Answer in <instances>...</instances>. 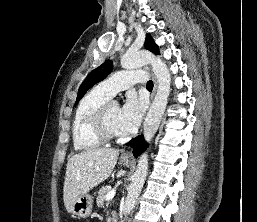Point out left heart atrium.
Listing matches in <instances>:
<instances>
[{
  "label": "left heart atrium",
  "mask_w": 257,
  "mask_h": 222,
  "mask_svg": "<svg viewBox=\"0 0 257 222\" xmlns=\"http://www.w3.org/2000/svg\"><path fill=\"white\" fill-rule=\"evenodd\" d=\"M146 108L144 99L135 94H130L123 107L119 120V131L121 134H130L138 127Z\"/></svg>",
  "instance_id": "left-heart-atrium-1"
}]
</instances>
